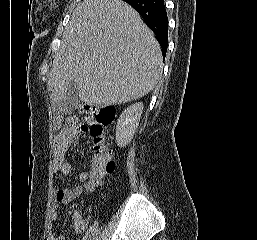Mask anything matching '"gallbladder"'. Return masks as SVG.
Wrapping results in <instances>:
<instances>
[{
	"instance_id": "obj_1",
	"label": "gallbladder",
	"mask_w": 257,
	"mask_h": 240,
	"mask_svg": "<svg viewBox=\"0 0 257 240\" xmlns=\"http://www.w3.org/2000/svg\"><path fill=\"white\" fill-rule=\"evenodd\" d=\"M64 98L54 104V111L58 114L69 115L80 105V97L75 82H71L67 88Z\"/></svg>"
}]
</instances>
